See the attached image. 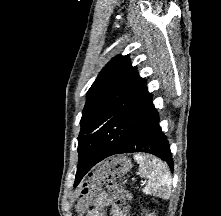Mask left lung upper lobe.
<instances>
[{
  "label": "left lung upper lobe",
  "mask_w": 221,
  "mask_h": 216,
  "mask_svg": "<svg viewBox=\"0 0 221 216\" xmlns=\"http://www.w3.org/2000/svg\"><path fill=\"white\" fill-rule=\"evenodd\" d=\"M152 108L146 81L132 67L128 56L112 59L88 91L80 121L79 158L85 150L100 144L120 149Z\"/></svg>",
  "instance_id": "left-lung-upper-lobe-1"
}]
</instances>
